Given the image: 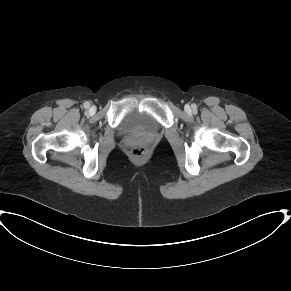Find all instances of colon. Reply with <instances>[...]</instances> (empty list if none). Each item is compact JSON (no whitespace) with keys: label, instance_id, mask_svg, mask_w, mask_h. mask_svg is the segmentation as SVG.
I'll use <instances>...</instances> for the list:
<instances>
[{"label":"colon","instance_id":"1","mask_svg":"<svg viewBox=\"0 0 291 291\" xmlns=\"http://www.w3.org/2000/svg\"><path fill=\"white\" fill-rule=\"evenodd\" d=\"M131 155L138 160L144 159L147 155V149L144 146L136 145L132 148Z\"/></svg>","mask_w":291,"mask_h":291}]
</instances>
